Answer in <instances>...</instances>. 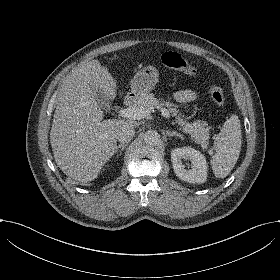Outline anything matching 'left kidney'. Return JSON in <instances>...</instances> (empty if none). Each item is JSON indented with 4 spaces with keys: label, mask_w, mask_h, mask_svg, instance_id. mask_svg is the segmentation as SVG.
<instances>
[{
    "label": "left kidney",
    "mask_w": 280,
    "mask_h": 280,
    "mask_svg": "<svg viewBox=\"0 0 280 280\" xmlns=\"http://www.w3.org/2000/svg\"><path fill=\"white\" fill-rule=\"evenodd\" d=\"M171 161L176 176L181 180L198 184L206 181V158L199 151L191 147L176 148L171 151ZM183 161H185V164ZM187 161H190V163Z\"/></svg>",
    "instance_id": "left-kidney-1"
}]
</instances>
